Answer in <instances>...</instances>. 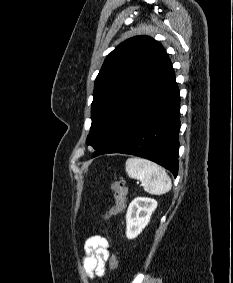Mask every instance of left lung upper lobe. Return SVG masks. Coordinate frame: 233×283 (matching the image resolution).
Here are the masks:
<instances>
[{
  "label": "left lung upper lobe",
  "instance_id": "5c2ea615",
  "mask_svg": "<svg viewBox=\"0 0 233 283\" xmlns=\"http://www.w3.org/2000/svg\"><path fill=\"white\" fill-rule=\"evenodd\" d=\"M167 59L163 46L148 36L130 38L108 54L95 80L88 145L97 151L108 140Z\"/></svg>",
  "mask_w": 233,
  "mask_h": 283
}]
</instances>
